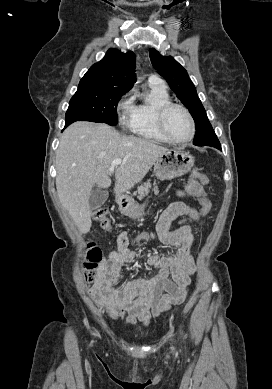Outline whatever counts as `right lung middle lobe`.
Wrapping results in <instances>:
<instances>
[{"instance_id": "dd1d6c3e", "label": "right lung middle lobe", "mask_w": 272, "mask_h": 389, "mask_svg": "<svg viewBox=\"0 0 272 389\" xmlns=\"http://www.w3.org/2000/svg\"><path fill=\"white\" fill-rule=\"evenodd\" d=\"M127 91L79 85L69 102L65 121H91L117 125V104Z\"/></svg>"}]
</instances>
